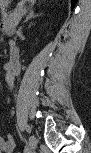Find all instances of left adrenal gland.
I'll return each instance as SVG.
<instances>
[{
	"label": "left adrenal gland",
	"instance_id": "left-adrenal-gland-1",
	"mask_svg": "<svg viewBox=\"0 0 91 153\" xmlns=\"http://www.w3.org/2000/svg\"><path fill=\"white\" fill-rule=\"evenodd\" d=\"M36 16H37V15L34 14V11L31 10V11L28 13V15H27V17H26V19H25L24 22H27L28 20H30V19H32V18H34V17H36Z\"/></svg>",
	"mask_w": 91,
	"mask_h": 153
}]
</instances>
